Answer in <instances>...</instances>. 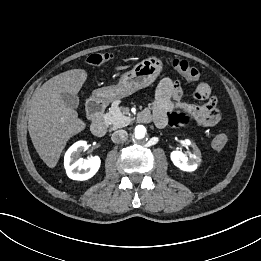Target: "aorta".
I'll return each mask as SVG.
<instances>
[{
	"mask_svg": "<svg viewBox=\"0 0 261 261\" xmlns=\"http://www.w3.org/2000/svg\"><path fill=\"white\" fill-rule=\"evenodd\" d=\"M146 134H147V131L144 126L138 125L134 128L133 137L135 138V140H137V141L144 140L146 137Z\"/></svg>",
	"mask_w": 261,
	"mask_h": 261,
	"instance_id": "762f6f07",
	"label": "aorta"
}]
</instances>
